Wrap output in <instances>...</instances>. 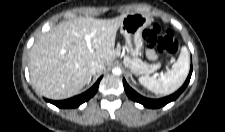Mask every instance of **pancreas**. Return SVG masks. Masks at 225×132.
I'll return each instance as SVG.
<instances>
[{"mask_svg": "<svg viewBox=\"0 0 225 132\" xmlns=\"http://www.w3.org/2000/svg\"><path fill=\"white\" fill-rule=\"evenodd\" d=\"M120 45L117 47V52L120 54ZM124 64L126 67L130 68L131 71L136 74H149L151 73L153 65H149L145 62H142L141 59L134 57V58H129V57H124Z\"/></svg>", "mask_w": 225, "mask_h": 132, "instance_id": "pancreas-1", "label": "pancreas"}]
</instances>
